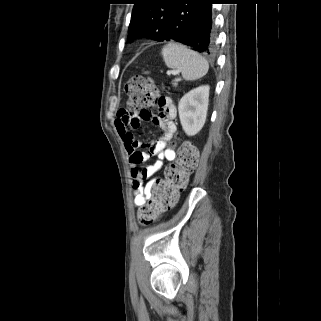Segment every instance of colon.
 Segmentation results:
<instances>
[{
  "label": "colon",
  "instance_id": "5ec220e1",
  "mask_svg": "<svg viewBox=\"0 0 321 321\" xmlns=\"http://www.w3.org/2000/svg\"><path fill=\"white\" fill-rule=\"evenodd\" d=\"M125 93V110L130 112L146 109L159 99L154 82L144 76L131 78L125 85ZM198 159V150L192 143L183 142L178 146L175 162L166 169V179L156 182L152 198L139 209L138 217L142 224L153 223L176 205L180 192L197 168Z\"/></svg>",
  "mask_w": 321,
  "mask_h": 321
}]
</instances>
